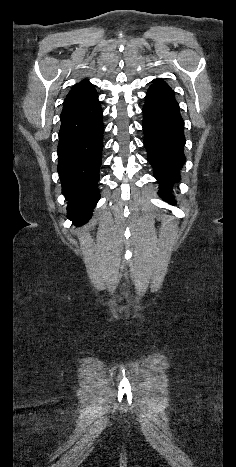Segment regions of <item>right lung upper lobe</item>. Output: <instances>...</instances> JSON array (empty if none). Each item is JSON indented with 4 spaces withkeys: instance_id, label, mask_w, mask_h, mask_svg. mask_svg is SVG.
Segmentation results:
<instances>
[{
    "instance_id": "obj_1",
    "label": "right lung upper lobe",
    "mask_w": 236,
    "mask_h": 467,
    "mask_svg": "<svg viewBox=\"0 0 236 467\" xmlns=\"http://www.w3.org/2000/svg\"><path fill=\"white\" fill-rule=\"evenodd\" d=\"M97 97L94 86L88 80L75 84L65 99L61 116L84 108Z\"/></svg>"
}]
</instances>
